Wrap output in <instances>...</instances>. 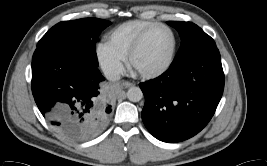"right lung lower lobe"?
<instances>
[{
    "label": "right lung lower lobe",
    "instance_id": "obj_1",
    "mask_svg": "<svg viewBox=\"0 0 267 166\" xmlns=\"http://www.w3.org/2000/svg\"><path fill=\"white\" fill-rule=\"evenodd\" d=\"M97 66L55 45L38 46L32 58V92L42 115L61 133L85 139L101 132L111 106L101 104Z\"/></svg>",
    "mask_w": 267,
    "mask_h": 166
}]
</instances>
